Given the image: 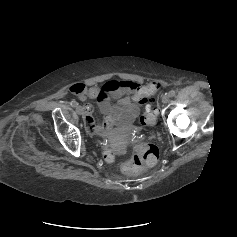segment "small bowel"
I'll list each match as a JSON object with an SVG mask.
<instances>
[{"instance_id":"obj_1","label":"small bowel","mask_w":237,"mask_h":237,"mask_svg":"<svg viewBox=\"0 0 237 237\" xmlns=\"http://www.w3.org/2000/svg\"><path fill=\"white\" fill-rule=\"evenodd\" d=\"M69 90L81 100L86 98L97 100L103 114L102 122L96 123L93 116L94 109L89 104L84 107L83 116L86 129L96 135L107 134L114 125L131 123L139 115L149 95L145 86L130 80L109 81L100 86L90 87L76 83Z\"/></svg>"}]
</instances>
